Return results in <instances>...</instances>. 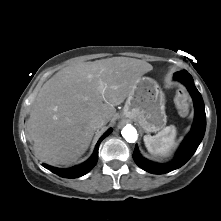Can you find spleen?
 Listing matches in <instances>:
<instances>
[{"instance_id":"3e777b00","label":"spleen","mask_w":221,"mask_h":221,"mask_svg":"<svg viewBox=\"0 0 221 221\" xmlns=\"http://www.w3.org/2000/svg\"><path fill=\"white\" fill-rule=\"evenodd\" d=\"M177 130L174 125L165 127L156 135H145L144 143L147 150L153 155L166 156L175 145Z\"/></svg>"}]
</instances>
